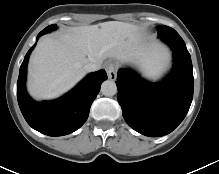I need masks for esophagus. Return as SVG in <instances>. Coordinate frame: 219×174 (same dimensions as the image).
<instances>
[{"mask_svg": "<svg viewBox=\"0 0 219 174\" xmlns=\"http://www.w3.org/2000/svg\"><path fill=\"white\" fill-rule=\"evenodd\" d=\"M105 70L107 72L108 78L115 80L117 76L118 66L116 63L109 61L105 65Z\"/></svg>", "mask_w": 219, "mask_h": 174, "instance_id": "1", "label": "esophagus"}]
</instances>
